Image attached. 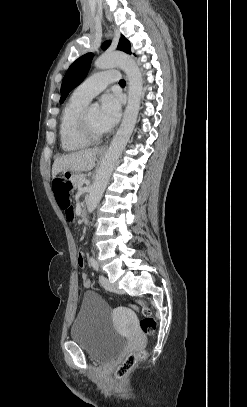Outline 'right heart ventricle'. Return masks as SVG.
<instances>
[{
	"label": "right heart ventricle",
	"instance_id": "1",
	"mask_svg": "<svg viewBox=\"0 0 247 407\" xmlns=\"http://www.w3.org/2000/svg\"><path fill=\"white\" fill-rule=\"evenodd\" d=\"M86 101L72 96L64 105L60 123L59 137L61 148L65 152H76L89 146L90 142L82 137L78 130V117Z\"/></svg>",
	"mask_w": 247,
	"mask_h": 407
}]
</instances>
